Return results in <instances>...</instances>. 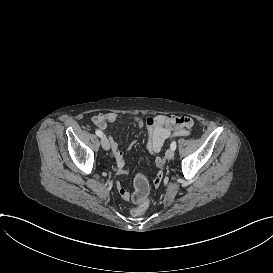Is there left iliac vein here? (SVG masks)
<instances>
[{
	"mask_svg": "<svg viewBox=\"0 0 273 273\" xmlns=\"http://www.w3.org/2000/svg\"><path fill=\"white\" fill-rule=\"evenodd\" d=\"M165 157L169 160L174 158V150L173 149H168L165 153Z\"/></svg>",
	"mask_w": 273,
	"mask_h": 273,
	"instance_id": "obj_1",
	"label": "left iliac vein"
}]
</instances>
